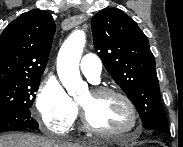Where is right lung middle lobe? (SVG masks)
I'll use <instances>...</instances> for the list:
<instances>
[{
    "label": "right lung middle lobe",
    "instance_id": "1",
    "mask_svg": "<svg viewBox=\"0 0 183 147\" xmlns=\"http://www.w3.org/2000/svg\"><path fill=\"white\" fill-rule=\"evenodd\" d=\"M40 77L0 81V111L29 109L39 88Z\"/></svg>",
    "mask_w": 183,
    "mask_h": 147
}]
</instances>
